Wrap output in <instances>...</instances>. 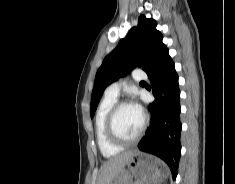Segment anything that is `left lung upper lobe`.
<instances>
[{"label": "left lung upper lobe", "mask_w": 235, "mask_h": 184, "mask_svg": "<svg viewBox=\"0 0 235 184\" xmlns=\"http://www.w3.org/2000/svg\"><path fill=\"white\" fill-rule=\"evenodd\" d=\"M157 22L144 15L138 18V25L132 27L126 37L109 53L98 69L91 96L90 115L95 110L105 88L120 77L128 74L136 66L148 72L163 36L156 30Z\"/></svg>", "instance_id": "left-lung-upper-lobe-1"}]
</instances>
